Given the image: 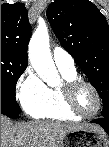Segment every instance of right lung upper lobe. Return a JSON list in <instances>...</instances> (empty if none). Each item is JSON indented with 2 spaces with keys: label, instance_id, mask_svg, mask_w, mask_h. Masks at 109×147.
Returning <instances> with one entry per match:
<instances>
[{
  "label": "right lung upper lobe",
  "instance_id": "right-lung-upper-lobe-1",
  "mask_svg": "<svg viewBox=\"0 0 109 147\" xmlns=\"http://www.w3.org/2000/svg\"><path fill=\"white\" fill-rule=\"evenodd\" d=\"M31 37L28 12L23 3L1 5V52L28 64Z\"/></svg>",
  "mask_w": 109,
  "mask_h": 147
}]
</instances>
